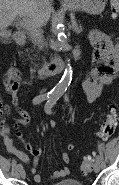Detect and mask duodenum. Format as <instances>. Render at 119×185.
<instances>
[{"mask_svg":"<svg viewBox=\"0 0 119 185\" xmlns=\"http://www.w3.org/2000/svg\"><path fill=\"white\" fill-rule=\"evenodd\" d=\"M15 40L18 45H24L26 43V34L23 32H18L15 35ZM80 57V50L75 49L71 53L72 61L78 60ZM66 65V61L63 58L56 57L44 64L41 68L36 71V76L38 78H45L58 74L63 70Z\"/></svg>","mask_w":119,"mask_h":185,"instance_id":"obj_1","label":"duodenum"}]
</instances>
